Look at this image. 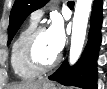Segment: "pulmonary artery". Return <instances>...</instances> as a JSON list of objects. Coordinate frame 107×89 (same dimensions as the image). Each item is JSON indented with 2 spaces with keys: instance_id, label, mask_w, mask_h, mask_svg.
Returning <instances> with one entry per match:
<instances>
[{
  "instance_id": "1",
  "label": "pulmonary artery",
  "mask_w": 107,
  "mask_h": 89,
  "mask_svg": "<svg viewBox=\"0 0 107 89\" xmlns=\"http://www.w3.org/2000/svg\"><path fill=\"white\" fill-rule=\"evenodd\" d=\"M43 13H44L43 9H38L32 13L31 19L38 22L43 16Z\"/></svg>"
}]
</instances>
